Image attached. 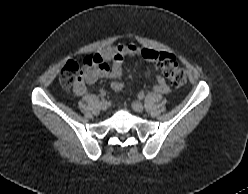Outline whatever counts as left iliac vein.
Here are the masks:
<instances>
[{"mask_svg":"<svg viewBox=\"0 0 248 194\" xmlns=\"http://www.w3.org/2000/svg\"><path fill=\"white\" fill-rule=\"evenodd\" d=\"M132 108L133 110H135L136 112H142L144 110V106L141 102L139 101H134L132 103Z\"/></svg>","mask_w":248,"mask_h":194,"instance_id":"1","label":"left iliac vein"}]
</instances>
